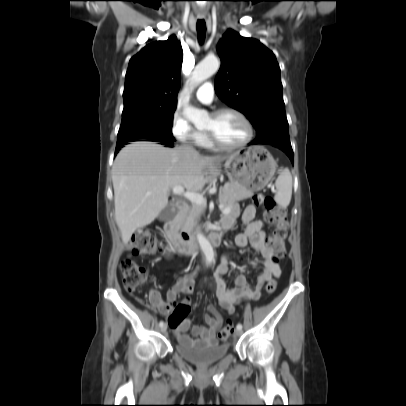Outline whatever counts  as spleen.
Masks as SVG:
<instances>
[{
	"mask_svg": "<svg viewBox=\"0 0 406 406\" xmlns=\"http://www.w3.org/2000/svg\"><path fill=\"white\" fill-rule=\"evenodd\" d=\"M277 193L275 201L282 207H287L292 196V175L288 169L281 168L275 182Z\"/></svg>",
	"mask_w": 406,
	"mask_h": 406,
	"instance_id": "3e777b00",
	"label": "spleen"
}]
</instances>
